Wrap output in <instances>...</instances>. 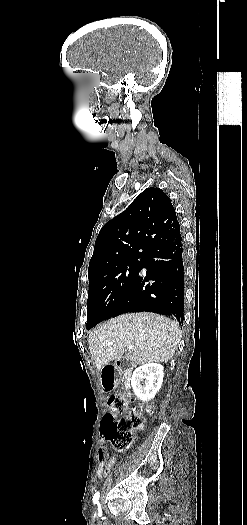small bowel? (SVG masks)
<instances>
[{
  "mask_svg": "<svg viewBox=\"0 0 247 525\" xmlns=\"http://www.w3.org/2000/svg\"><path fill=\"white\" fill-rule=\"evenodd\" d=\"M116 461H117L116 457L108 455L106 441L104 439H101L99 442V449H98V462H99V466L97 469L98 478L108 476L112 467L115 465Z\"/></svg>",
  "mask_w": 247,
  "mask_h": 525,
  "instance_id": "obj_1",
  "label": "small bowel"
}]
</instances>
